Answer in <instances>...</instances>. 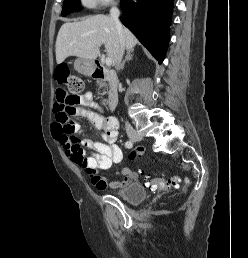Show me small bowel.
Segmentation results:
<instances>
[{
    "mask_svg": "<svg viewBox=\"0 0 248 258\" xmlns=\"http://www.w3.org/2000/svg\"><path fill=\"white\" fill-rule=\"evenodd\" d=\"M65 94V91L59 87L57 98ZM77 106L73 107V115L87 119L91 124L102 132V141H95L85 138L81 142L73 141L68 135L63 134L59 125H54V135L61 143L65 155L72 163L82 166L85 169H95L102 172L111 168L114 164H119L123 159V153L117 145L119 124L115 117H105L101 113L100 105L94 100L91 92H86L79 97ZM75 131L82 133L79 123L73 122ZM84 145L94 149L95 154L88 156ZM124 176L122 180L107 182L100 176H90V181L98 190L121 189L136 179L135 173L129 168L124 167L119 172Z\"/></svg>",
    "mask_w": 248,
    "mask_h": 258,
    "instance_id": "small-bowel-1",
    "label": "small bowel"
}]
</instances>
